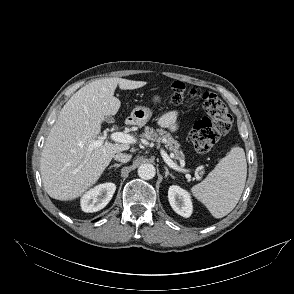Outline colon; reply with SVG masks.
I'll return each instance as SVG.
<instances>
[{"label": "colon", "instance_id": "obj_1", "mask_svg": "<svg viewBox=\"0 0 294 294\" xmlns=\"http://www.w3.org/2000/svg\"><path fill=\"white\" fill-rule=\"evenodd\" d=\"M171 99L175 104H181L186 100L201 101L206 115L195 123L191 132L192 143L198 152L209 151L220 137L230 131L232 116L216 94L210 92L199 94L195 90H188L183 83L175 82L171 85Z\"/></svg>", "mask_w": 294, "mask_h": 294}]
</instances>
